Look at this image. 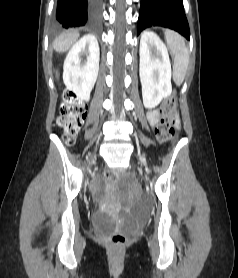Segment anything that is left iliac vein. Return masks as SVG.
Returning <instances> with one entry per match:
<instances>
[{"mask_svg": "<svg viewBox=\"0 0 238 278\" xmlns=\"http://www.w3.org/2000/svg\"><path fill=\"white\" fill-rule=\"evenodd\" d=\"M141 160H142V162H143L144 164H146V161H145L144 158L141 157Z\"/></svg>", "mask_w": 238, "mask_h": 278, "instance_id": "1", "label": "left iliac vein"}]
</instances>
